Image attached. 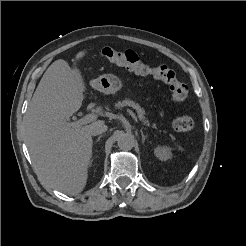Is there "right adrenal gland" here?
Here are the masks:
<instances>
[{
  "instance_id": "obj_1",
  "label": "right adrenal gland",
  "mask_w": 246,
  "mask_h": 246,
  "mask_svg": "<svg viewBox=\"0 0 246 246\" xmlns=\"http://www.w3.org/2000/svg\"><path fill=\"white\" fill-rule=\"evenodd\" d=\"M101 137H102V135H100V136L97 138L96 142H99L100 139H101Z\"/></svg>"
}]
</instances>
